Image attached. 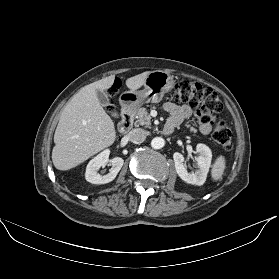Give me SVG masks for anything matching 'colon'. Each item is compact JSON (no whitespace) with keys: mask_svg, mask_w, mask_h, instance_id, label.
Instances as JSON below:
<instances>
[{"mask_svg":"<svg viewBox=\"0 0 279 279\" xmlns=\"http://www.w3.org/2000/svg\"><path fill=\"white\" fill-rule=\"evenodd\" d=\"M173 99L188 104L201 122L214 123L213 139L225 150L232 148V132L225 123L223 106L216 92L198 82L180 81L175 85Z\"/></svg>","mask_w":279,"mask_h":279,"instance_id":"colon-1","label":"colon"}]
</instances>
